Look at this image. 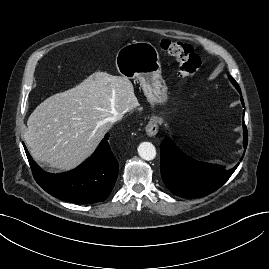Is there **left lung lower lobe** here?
Listing matches in <instances>:
<instances>
[{
    "label": "left lung lower lobe",
    "mask_w": 269,
    "mask_h": 269,
    "mask_svg": "<svg viewBox=\"0 0 269 269\" xmlns=\"http://www.w3.org/2000/svg\"><path fill=\"white\" fill-rule=\"evenodd\" d=\"M240 93V88L237 89ZM241 102L244 106L243 98ZM244 148L248 134L243 116ZM161 176L166 187L175 195L194 198L208 195L220 188L230 178L238 165L231 170L224 166L202 163L185 155L170 138L160 145Z\"/></svg>",
    "instance_id": "left-lung-lower-lobe-1"
}]
</instances>
